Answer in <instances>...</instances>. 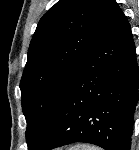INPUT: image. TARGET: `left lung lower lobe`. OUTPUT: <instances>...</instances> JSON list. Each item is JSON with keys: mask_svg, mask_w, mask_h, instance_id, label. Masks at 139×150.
Returning <instances> with one entry per match:
<instances>
[{"mask_svg": "<svg viewBox=\"0 0 139 150\" xmlns=\"http://www.w3.org/2000/svg\"><path fill=\"white\" fill-rule=\"evenodd\" d=\"M138 81L131 28L115 2L62 91L48 126L29 150H49L73 142L130 150Z\"/></svg>", "mask_w": 139, "mask_h": 150, "instance_id": "1", "label": "left lung lower lobe"}]
</instances>
